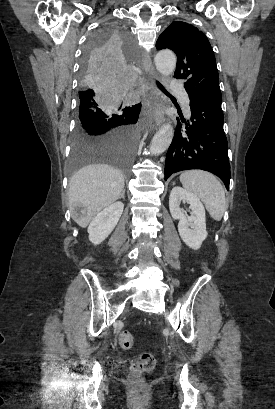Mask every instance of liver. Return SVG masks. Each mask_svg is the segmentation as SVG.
<instances>
[{
  "label": "liver",
  "instance_id": "obj_1",
  "mask_svg": "<svg viewBox=\"0 0 275 409\" xmlns=\"http://www.w3.org/2000/svg\"><path fill=\"white\" fill-rule=\"evenodd\" d=\"M124 188V174L110 164H88L79 168L69 180L70 207H85L86 217L76 221L87 227L90 221L112 202L118 200Z\"/></svg>",
  "mask_w": 275,
  "mask_h": 409
}]
</instances>
